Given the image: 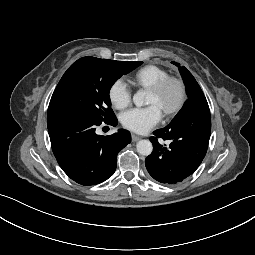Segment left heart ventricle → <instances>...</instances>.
Here are the masks:
<instances>
[{
    "mask_svg": "<svg viewBox=\"0 0 255 255\" xmlns=\"http://www.w3.org/2000/svg\"><path fill=\"white\" fill-rule=\"evenodd\" d=\"M179 96L178 87L175 84L169 85L163 92L155 94L153 92H148L147 104H155L162 111L172 107Z\"/></svg>",
    "mask_w": 255,
    "mask_h": 255,
    "instance_id": "left-heart-ventricle-1",
    "label": "left heart ventricle"
}]
</instances>
